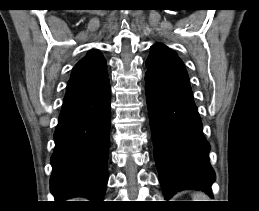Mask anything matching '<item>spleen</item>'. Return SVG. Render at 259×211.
<instances>
[{"label":"spleen","instance_id":"3e777b00","mask_svg":"<svg viewBox=\"0 0 259 211\" xmlns=\"http://www.w3.org/2000/svg\"><path fill=\"white\" fill-rule=\"evenodd\" d=\"M193 201H210L209 197L203 192H194L192 195Z\"/></svg>","mask_w":259,"mask_h":211}]
</instances>
